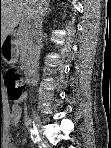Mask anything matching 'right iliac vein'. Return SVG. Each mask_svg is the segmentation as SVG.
Wrapping results in <instances>:
<instances>
[{"label": "right iliac vein", "instance_id": "obj_1", "mask_svg": "<svg viewBox=\"0 0 111 148\" xmlns=\"http://www.w3.org/2000/svg\"><path fill=\"white\" fill-rule=\"evenodd\" d=\"M32 116H33V120H34L36 128L39 129L41 126V119L39 115L35 111H33Z\"/></svg>", "mask_w": 111, "mask_h": 148}]
</instances>
